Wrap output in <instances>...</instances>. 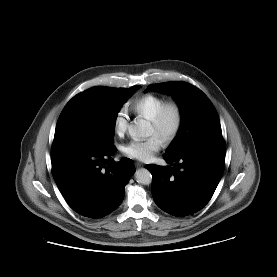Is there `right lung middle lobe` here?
Returning a JSON list of instances; mask_svg holds the SVG:
<instances>
[{"label": "right lung middle lobe", "instance_id": "dd1d6c3e", "mask_svg": "<svg viewBox=\"0 0 277 277\" xmlns=\"http://www.w3.org/2000/svg\"><path fill=\"white\" fill-rule=\"evenodd\" d=\"M140 86H97L74 96L64 107L54 140H72L102 150L113 147L115 121L123 103Z\"/></svg>", "mask_w": 277, "mask_h": 277}]
</instances>
